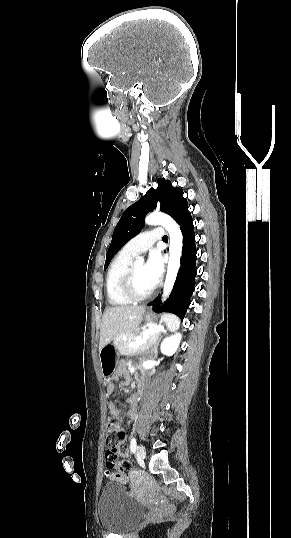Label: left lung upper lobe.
I'll use <instances>...</instances> for the list:
<instances>
[{
  "label": "left lung upper lobe",
  "mask_w": 291,
  "mask_h": 538,
  "mask_svg": "<svg viewBox=\"0 0 291 538\" xmlns=\"http://www.w3.org/2000/svg\"><path fill=\"white\" fill-rule=\"evenodd\" d=\"M157 183V189H149L144 196L123 212L114 229L104 269L108 267L113 255L141 231L145 215L156 208L158 200L161 204L160 210L169 214L176 222L189 212L182 189L174 188L171 182L165 178H159Z\"/></svg>",
  "instance_id": "1"
}]
</instances>
